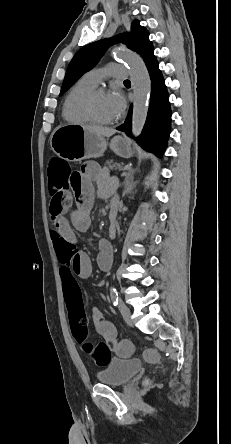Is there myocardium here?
<instances>
[{"mask_svg": "<svg viewBox=\"0 0 231 444\" xmlns=\"http://www.w3.org/2000/svg\"><path fill=\"white\" fill-rule=\"evenodd\" d=\"M99 94H107V90L103 87H95L84 98L83 111L90 122L98 125H110L117 121V118L111 120H100L96 117L93 111V101Z\"/></svg>", "mask_w": 231, "mask_h": 444, "instance_id": "myocardium-1", "label": "myocardium"}]
</instances>
